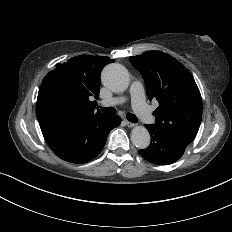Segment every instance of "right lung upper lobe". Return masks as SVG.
<instances>
[{
	"mask_svg": "<svg viewBox=\"0 0 232 232\" xmlns=\"http://www.w3.org/2000/svg\"><path fill=\"white\" fill-rule=\"evenodd\" d=\"M115 60L106 56L80 55L50 71L40 85L36 115L39 122L103 115L96 112L100 73Z\"/></svg>",
	"mask_w": 232,
	"mask_h": 232,
	"instance_id": "obj_1",
	"label": "right lung upper lobe"
}]
</instances>
